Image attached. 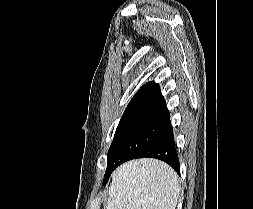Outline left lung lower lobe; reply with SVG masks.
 Returning a JSON list of instances; mask_svg holds the SVG:
<instances>
[{
  "mask_svg": "<svg viewBox=\"0 0 253 209\" xmlns=\"http://www.w3.org/2000/svg\"><path fill=\"white\" fill-rule=\"evenodd\" d=\"M138 158H156L162 160L180 174L179 158L176 152L171 123L139 153L111 163L106 169L104 184L107 183L115 168L126 161Z\"/></svg>",
  "mask_w": 253,
  "mask_h": 209,
  "instance_id": "obj_1",
  "label": "left lung lower lobe"
}]
</instances>
